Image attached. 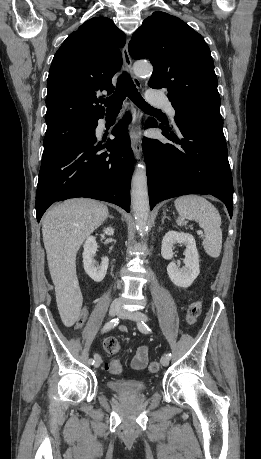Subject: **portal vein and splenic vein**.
Returning <instances> with one entry per match:
<instances>
[{
  "instance_id": "18ae733b",
  "label": "portal vein and splenic vein",
  "mask_w": 261,
  "mask_h": 459,
  "mask_svg": "<svg viewBox=\"0 0 261 459\" xmlns=\"http://www.w3.org/2000/svg\"><path fill=\"white\" fill-rule=\"evenodd\" d=\"M198 234L201 235V236H203V232H202L201 230L198 231Z\"/></svg>"
}]
</instances>
